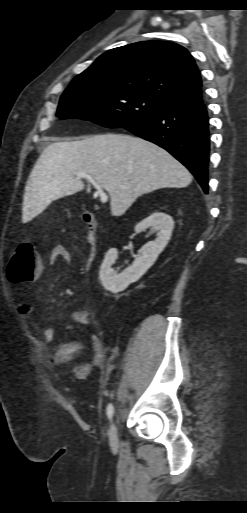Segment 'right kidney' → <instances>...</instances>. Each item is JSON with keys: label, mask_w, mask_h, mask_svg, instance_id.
<instances>
[{"label": "right kidney", "mask_w": 247, "mask_h": 513, "mask_svg": "<svg viewBox=\"0 0 247 513\" xmlns=\"http://www.w3.org/2000/svg\"><path fill=\"white\" fill-rule=\"evenodd\" d=\"M147 228H151L153 232L156 231L157 237L141 248L133 264L126 270L117 274L111 267L117 259V249L112 248L106 253L99 272L101 283L106 290L117 293L126 289L130 283L140 279L168 244L174 228V221L168 214L155 212L139 222L135 226V232L139 233Z\"/></svg>", "instance_id": "obj_1"}]
</instances>
